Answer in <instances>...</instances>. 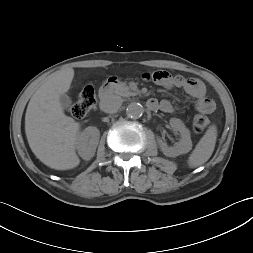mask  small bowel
I'll return each mask as SVG.
<instances>
[{"label":"small bowel","instance_id":"obj_1","mask_svg":"<svg viewBox=\"0 0 253 253\" xmlns=\"http://www.w3.org/2000/svg\"><path fill=\"white\" fill-rule=\"evenodd\" d=\"M147 80H152L156 84L170 89L177 87L183 89L188 95L194 99L195 108L203 114H210L215 109V102L206 95V87L204 83L195 78H185L182 76H172L166 71H155L144 75ZM158 103L157 109L163 112L170 113L174 110L172 103L169 100H161Z\"/></svg>","mask_w":253,"mask_h":253}]
</instances>
